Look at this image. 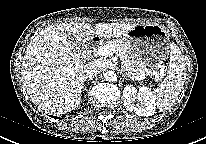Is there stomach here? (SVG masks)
Listing matches in <instances>:
<instances>
[{
	"instance_id": "0dacf381",
	"label": "stomach",
	"mask_w": 206,
	"mask_h": 144,
	"mask_svg": "<svg viewBox=\"0 0 206 144\" xmlns=\"http://www.w3.org/2000/svg\"><path fill=\"white\" fill-rule=\"evenodd\" d=\"M122 40L129 47L132 59L137 61L140 67H146L149 72L152 69L163 68L171 54L170 35L163 25H136L122 37Z\"/></svg>"
}]
</instances>
